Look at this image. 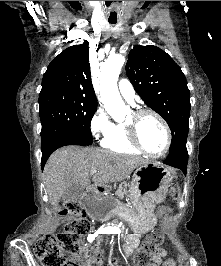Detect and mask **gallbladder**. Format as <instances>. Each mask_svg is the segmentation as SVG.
I'll use <instances>...</instances> for the list:
<instances>
[{
  "label": "gallbladder",
  "mask_w": 221,
  "mask_h": 266,
  "mask_svg": "<svg viewBox=\"0 0 221 266\" xmlns=\"http://www.w3.org/2000/svg\"><path fill=\"white\" fill-rule=\"evenodd\" d=\"M84 189V186L72 184L66 189L62 201L65 203L76 202L83 195Z\"/></svg>",
  "instance_id": "gallbladder-1"
}]
</instances>
